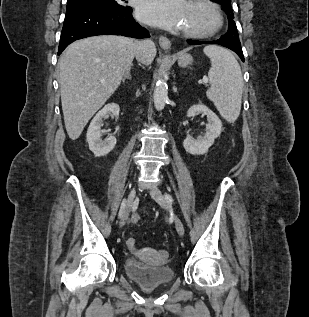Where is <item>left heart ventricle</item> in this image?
Here are the masks:
<instances>
[{
    "mask_svg": "<svg viewBox=\"0 0 309 317\" xmlns=\"http://www.w3.org/2000/svg\"><path fill=\"white\" fill-rule=\"evenodd\" d=\"M212 23L213 17L208 9L189 3L182 29H206L210 27Z\"/></svg>",
    "mask_w": 309,
    "mask_h": 317,
    "instance_id": "left-heart-ventricle-1",
    "label": "left heart ventricle"
}]
</instances>
